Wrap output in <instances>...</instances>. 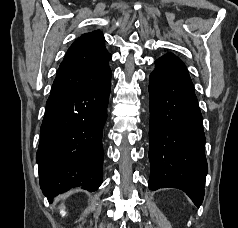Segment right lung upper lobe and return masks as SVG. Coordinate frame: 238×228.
Segmentation results:
<instances>
[{
    "label": "right lung upper lobe",
    "mask_w": 238,
    "mask_h": 228,
    "mask_svg": "<svg viewBox=\"0 0 238 228\" xmlns=\"http://www.w3.org/2000/svg\"><path fill=\"white\" fill-rule=\"evenodd\" d=\"M111 58L101 32L84 34L68 49L53 82L51 94L96 83L109 68L108 61Z\"/></svg>",
    "instance_id": "right-lung-upper-lobe-1"
}]
</instances>
